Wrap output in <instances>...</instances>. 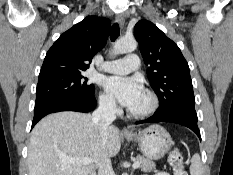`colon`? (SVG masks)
I'll list each match as a JSON object with an SVG mask.
<instances>
[{
  "mask_svg": "<svg viewBox=\"0 0 233 175\" xmlns=\"http://www.w3.org/2000/svg\"><path fill=\"white\" fill-rule=\"evenodd\" d=\"M169 164L174 171V175H188L184 168V157L179 149H174L169 155Z\"/></svg>",
  "mask_w": 233,
  "mask_h": 175,
  "instance_id": "colon-1",
  "label": "colon"
}]
</instances>
